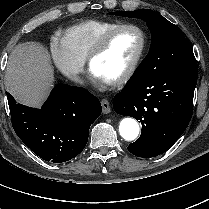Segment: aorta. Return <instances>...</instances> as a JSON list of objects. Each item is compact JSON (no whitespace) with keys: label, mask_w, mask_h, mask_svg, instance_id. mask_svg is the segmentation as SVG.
Here are the masks:
<instances>
[{"label":"aorta","mask_w":209,"mask_h":209,"mask_svg":"<svg viewBox=\"0 0 209 209\" xmlns=\"http://www.w3.org/2000/svg\"><path fill=\"white\" fill-rule=\"evenodd\" d=\"M138 122L130 117L123 118L119 124V133L127 141L135 140L139 134Z\"/></svg>","instance_id":"762f6f07"}]
</instances>
